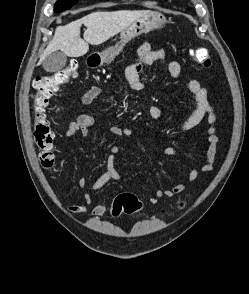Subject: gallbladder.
I'll return each mask as SVG.
<instances>
[{"label": "gallbladder", "instance_id": "obj_1", "mask_svg": "<svg viewBox=\"0 0 249 294\" xmlns=\"http://www.w3.org/2000/svg\"><path fill=\"white\" fill-rule=\"evenodd\" d=\"M66 62L67 56L61 51H55L42 61V66L47 72H57L65 67Z\"/></svg>", "mask_w": 249, "mask_h": 294}]
</instances>
